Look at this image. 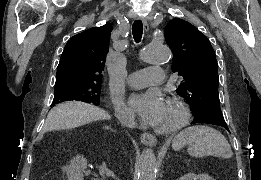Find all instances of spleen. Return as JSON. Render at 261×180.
<instances>
[{
  "mask_svg": "<svg viewBox=\"0 0 261 180\" xmlns=\"http://www.w3.org/2000/svg\"><path fill=\"white\" fill-rule=\"evenodd\" d=\"M181 146H188V154L192 158H204V156H215V158H232V150L225 136L209 128V126H190L179 132L176 136Z\"/></svg>",
  "mask_w": 261,
  "mask_h": 180,
  "instance_id": "spleen-1",
  "label": "spleen"
}]
</instances>
